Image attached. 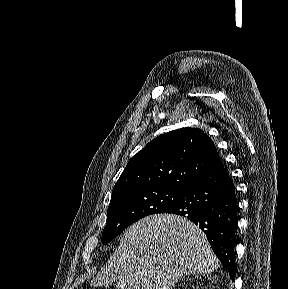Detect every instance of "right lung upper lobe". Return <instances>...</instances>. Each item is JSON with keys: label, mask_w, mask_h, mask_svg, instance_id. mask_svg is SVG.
<instances>
[{"label": "right lung upper lobe", "mask_w": 288, "mask_h": 289, "mask_svg": "<svg viewBox=\"0 0 288 289\" xmlns=\"http://www.w3.org/2000/svg\"><path fill=\"white\" fill-rule=\"evenodd\" d=\"M220 162L214 142L202 130L177 129L153 139L129 160L112 195L132 189H186Z\"/></svg>", "instance_id": "1"}]
</instances>
